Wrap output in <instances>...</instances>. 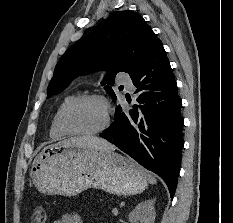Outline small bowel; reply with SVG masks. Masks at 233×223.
I'll list each match as a JSON object with an SVG mask.
<instances>
[{"mask_svg":"<svg viewBox=\"0 0 233 223\" xmlns=\"http://www.w3.org/2000/svg\"><path fill=\"white\" fill-rule=\"evenodd\" d=\"M54 223H84V221L78 213L70 212L62 215V217L55 220Z\"/></svg>","mask_w":233,"mask_h":223,"instance_id":"obj_1","label":"small bowel"}]
</instances>
